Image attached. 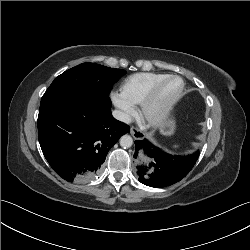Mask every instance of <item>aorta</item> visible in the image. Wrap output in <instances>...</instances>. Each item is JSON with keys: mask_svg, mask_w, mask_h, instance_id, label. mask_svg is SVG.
<instances>
[{"mask_svg": "<svg viewBox=\"0 0 250 250\" xmlns=\"http://www.w3.org/2000/svg\"><path fill=\"white\" fill-rule=\"evenodd\" d=\"M133 144V139L130 135H123L120 138V146L123 148H130Z\"/></svg>", "mask_w": 250, "mask_h": 250, "instance_id": "1", "label": "aorta"}]
</instances>
